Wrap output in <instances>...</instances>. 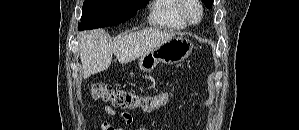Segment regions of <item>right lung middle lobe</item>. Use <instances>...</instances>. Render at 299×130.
<instances>
[{"label": "right lung middle lobe", "instance_id": "dd1d6c3e", "mask_svg": "<svg viewBox=\"0 0 299 130\" xmlns=\"http://www.w3.org/2000/svg\"><path fill=\"white\" fill-rule=\"evenodd\" d=\"M149 0H85L79 30L117 25L132 18Z\"/></svg>", "mask_w": 299, "mask_h": 130}]
</instances>
